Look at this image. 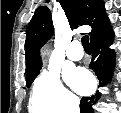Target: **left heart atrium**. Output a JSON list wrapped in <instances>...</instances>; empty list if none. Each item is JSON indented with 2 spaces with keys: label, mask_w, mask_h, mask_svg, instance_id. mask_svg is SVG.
<instances>
[{
  "label": "left heart atrium",
  "mask_w": 121,
  "mask_h": 113,
  "mask_svg": "<svg viewBox=\"0 0 121 113\" xmlns=\"http://www.w3.org/2000/svg\"><path fill=\"white\" fill-rule=\"evenodd\" d=\"M65 78L67 83L79 93H86L91 89V77L82 69L66 70Z\"/></svg>",
  "instance_id": "obj_1"
}]
</instances>
